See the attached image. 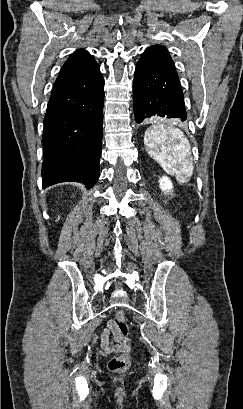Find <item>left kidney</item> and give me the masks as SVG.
Returning a JSON list of instances; mask_svg holds the SVG:
<instances>
[{
	"label": "left kidney",
	"mask_w": 243,
	"mask_h": 409,
	"mask_svg": "<svg viewBox=\"0 0 243 409\" xmlns=\"http://www.w3.org/2000/svg\"><path fill=\"white\" fill-rule=\"evenodd\" d=\"M159 186H160L161 190L166 192V193L170 192L172 190V188H173V184H172L170 178L167 177V176H162L159 179Z\"/></svg>",
	"instance_id": "5707ae66"
}]
</instances>
